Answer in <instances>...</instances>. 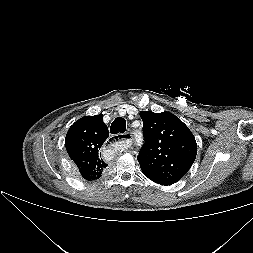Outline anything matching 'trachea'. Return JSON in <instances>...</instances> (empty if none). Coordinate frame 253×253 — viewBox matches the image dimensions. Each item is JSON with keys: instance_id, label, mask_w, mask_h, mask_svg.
<instances>
[{"instance_id": "1", "label": "trachea", "mask_w": 253, "mask_h": 253, "mask_svg": "<svg viewBox=\"0 0 253 253\" xmlns=\"http://www.w3.org/2000/svg\"><path fill=\"white\" fill-rule=\"evenodd\" d=\"M126 130V120L124 118H116L110 127V132L112 134L124 133Z\"/></svg>"}]
</instances>
